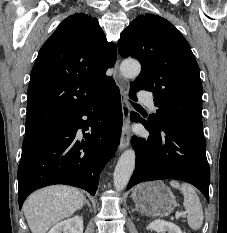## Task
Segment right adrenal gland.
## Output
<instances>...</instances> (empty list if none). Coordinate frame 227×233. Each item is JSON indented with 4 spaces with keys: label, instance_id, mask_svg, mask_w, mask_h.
<instances>
[{
    "label": "right adrenal gland",
    "instance_id": "right-adrenal-gland-1",
    "mask_svg": "<svg viewBox=\"0 0 227 233\" xmlns=\"http://www.w3.org/2000/svg\"><path fill=\"white\" fill-rule=\"evenodd\" d=\"M84 204H87V205H88V207H91V205H90L89 201H88L86 198H85Z\"/></svg>",
    "mask_w": 227,
    "mask_h": 233
}]
</instances>
